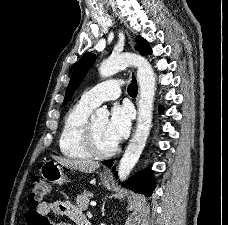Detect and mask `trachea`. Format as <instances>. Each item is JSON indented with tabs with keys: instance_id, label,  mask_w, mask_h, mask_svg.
Returning <instances> with one entry per match:
<instances>
[{
	"instance_id": "obj_1",
	"label": "trachea",
	"mask_w": 228,
	"mask_h": 225,
	"mask_svg": "<svg viewBox=\"0 0 228 225\" xmlns=\"http://www.w3.org/2000/svg\"><path fill=\"white\" fill-rule=\"evenodd\" d=\"M128 94L129 95H136L137 94V82L135 77L133 76L132 82L128 86Z\"/></svg>"
}]
</instances>
